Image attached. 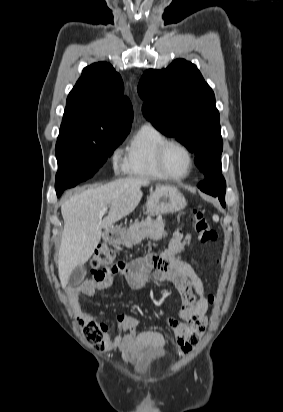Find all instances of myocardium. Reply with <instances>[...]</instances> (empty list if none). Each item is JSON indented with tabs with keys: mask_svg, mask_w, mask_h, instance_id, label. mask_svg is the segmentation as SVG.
Instances as JSON below:
<instances>
[{
	"mask_svg": "<svg viewBox=\"0 0 283 412\" xmlns=\"http://www.w3.org/2000/svg\"><path fill=\"white\" fill-rule=\"evenodd\" d=\"M173 146H177L182 148L187 156H188V160H189V167L188 170L182 174V175H175L172 174L171 172L168 171V169L166 168L165 165V157H166V153L168 151V149L170 147ZM157 166L162 174L163 177L168 178V179H172V180H182L185 179L186 177H188L193 168H194V154L192 152V150L189 148L188 145H186L185 143L176 140V139H168L167 141H165L159 148L158 153H157Z\"/></svg>",
	"mask_w": 283,
	"mask_h": 412,
	"instance_id": "obj_1",
	"label": "myocardium"
}]
</instances>
